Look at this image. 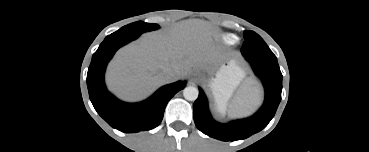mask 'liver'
<instances>
[{"mask_svg":"<svg viewBox=\"0 0 369 152\" xmlns=\"http://www.w3.org/2000/svg\"><path fill=\"white\" fill-rule=\"evenodd\" d=\"M214 28L202 20L178 23L171 30L143 35L118 51L106 75L109 89L127 101L145 98L161 85L185 77L192 67H206L210 62ZM176 74L169 77L165 69ZM257 87H247L249 93Z\"/></svg>","mask_w":369,"mask_h":152,"instance_id":"obj_1","label":"liver"}]
</instances>
